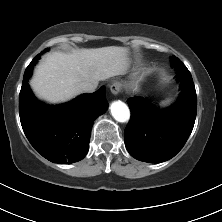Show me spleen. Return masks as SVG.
<instances>
[{
    "label": "spleen",
    "instance_id": "3e777b00",
    "mask_svg": "<svg viewBox=\"0 0 222 222\" xmlns=\"http://www.w3.org/2000/svg\"><path fill=\"white\" fill-rule=\"evenodd\" d=\"M168 103H169V100H167V101H163V102L161 103V106H167Z\"/></svg>",
    "mask_w": 222,
    "mask_h": 222
}]
</instances>
